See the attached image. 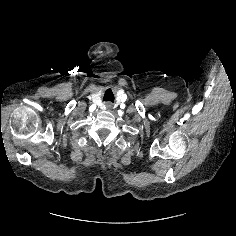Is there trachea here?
Instances as JSON below:
<instances>
[{
	"label": "trachea",
	"instance_id": "obj_1",
	"mask_svg": "<svg viewBox=\"0 0 236 236\" xmlns=\"http://www.w3.org/2000/svg\"><path fill=\"white\" fill-rule=\"evenodd\" d=\"M104 100L114 102V96H113V93L111 92V90L106 91V93L104 95Z\"/></svg>",
	"mask_w": 236,
	"mask_h": 236
}]
</instances>
